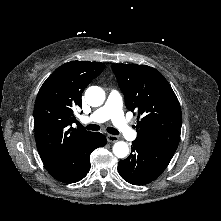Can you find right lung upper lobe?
I'll return each mask as SVG.
<instances>
[{
	"label": "right lung upper lobe",
	"instance_id": "1",
	"mask_svg": "<svg viewBox=\"0 0 221 221\" xmlns=\"http://www.w3.org/2000/svg\"><path fill=\"white\" fill-rule=\"evenodd\" d=\"M105 68L103 63L71 61L43 83L34 106L36 144L44 165L64 155L92 132L73 128V109L81 107L84 88Z\"/></svg>",
	"mask_w": 221,
	"mask_h": 221
}]
</instances>
